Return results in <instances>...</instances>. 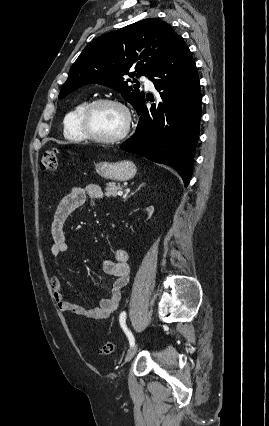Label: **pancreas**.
Listing matches in <instances>:
<instances>
[{"label": "pancreas", "instance_id": "cf45deb5", "mask_svg": "<svg viewBox=\"0 0 269 426\" xmlns=\"http://www.w3.org/2000/svg\"><path fill=\"white\" fill-rule=\"evenodd\" d=\"M122 188L123 187L120 184L108 183L105 188L106 190L105 195L107 197H116L118 191L122 190Z\"/></svg>", "mask_w": 269, "mask_h": 426}]
</instances>
